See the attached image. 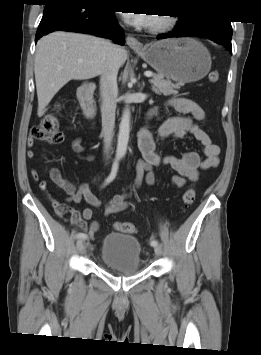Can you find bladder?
<instances>
[{
    "mask_svg": "<svg viewBox=\"0 0 261 355\" xmlns=\"http://www.w3.org/2000/svg\"><path fill=\"white\" fill-rule=\"evenodd\" d=\"M101 261L114 272L134 274L141 269V245L132 235L108 233L103 240Z\"/></svg>",
    "mask_w": 261,
    "mask_h": 355,
    "instance_id": "31cf9c89",
    "label": "bladder"
}]
</instances>
